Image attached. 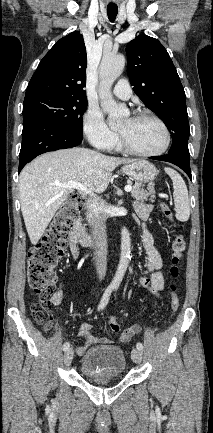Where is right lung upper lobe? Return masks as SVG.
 <instances>
[{
    "mask_svg": "<svg viewBox=\"0 0 213 433\" xmlns=\"http://www.w3.org/2000/svg\"><path fill=\"white\" fill-rule=\"evenodd\" d=\"M87 55L83 36L75 31L49 50L32 76L25 97L54 94L86 98Z\"/></svg>",
    "mask_w": 213,
    "mask_h": 433,
    "instance_id": "right-lung-upper-lobe-1",
    "label": "right lung upper lobe"
}]
</instances>
